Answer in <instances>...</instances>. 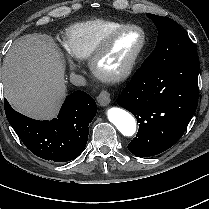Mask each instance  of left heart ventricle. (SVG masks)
I'll use <instances>...</instances> for the list:
<instances>
[{"mask_svg": "<svg viewBox=\"0 0 209 209\" xmlns=\"http://www.w3.org/2000/svg\"><path fill=\"white\" fill-rule=\"evenodd\" d=\"M141 33L135 30L118 34L100 63V68L106 72L120 70L132 57L141 44Z\"/></svg>", "mask_w": 209, "mask_h": 209, "instance_id": "left-heart-ventricle-1", "label": "left heart ventricle"}]
</instances>
